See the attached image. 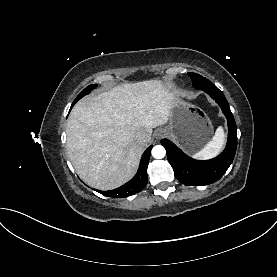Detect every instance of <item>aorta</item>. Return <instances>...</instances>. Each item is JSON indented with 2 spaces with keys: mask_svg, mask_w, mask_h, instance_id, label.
<instances>
[{
  "mask_svg": "<svg viewBox=\"0 0 277 277\" xmlns=\"http://www.w3.org/2000/svg\"><path fill=\"white\" fill-rule=\"evenodd\" d=\"M166 155V150L162 145H156L152 149V156L156 159H162Z\"/></svg>",
  "mask_w": 277,
  "mask_h": 277,
  "instance_id": "762f6f07",
  "label": "aorta"
}]
</instances>
